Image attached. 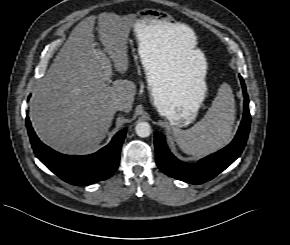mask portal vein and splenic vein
<instances>
[{
    "mask_svg": "<svg viewBox=\"0 0 290 245\" xmlns=\"http://www.w3.org/2000/svg\"><path fill=\"white\" fill-rule=\"evenodd\" d=\"M102 64L104 66L103 80L107 82L111 76V65L106 55L103 58Z\"/></svg>",
    "mask_w": 290,
    "mask_h": 245,
    "instance_id": "obj_1",
    "label": "portal vein and splenic vein"
}]
</instances>
